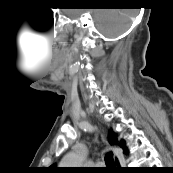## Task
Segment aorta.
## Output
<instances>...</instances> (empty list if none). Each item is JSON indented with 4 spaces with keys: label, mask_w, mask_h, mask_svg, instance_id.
Wrapping results in <instances>:
<instances>
[{
    "label": "aorta",
    "mask_w": 173,
    "mask_h": 173,
    "mask_svg": "<svg viewBox=\"0 0 173 173\" xmlns=\"http://www.w3.org/2000/svg\"><path fill=\"white\" fill-rule=\"evenodd\" d=\"M80 162V157L77 154H71L64 159L63 165H78Z\"/></svg>",
    "instance_id": "obj_1"
}]
</instances>
